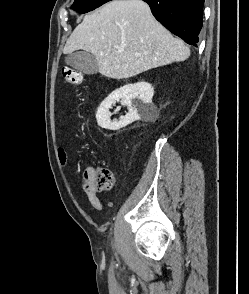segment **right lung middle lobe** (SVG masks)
<instances>
[{"label": "right lung middle lobe", "mask_w": 249, "mask_h": 294, "mask_svg": "<svg viewBox=\"0 0 249 294\" xmlns=\"http://www.w3.org/2000/svg\"><path fill=\"white\" fill-rule=\"evenodd\" d=\"M111 0H75L71 8L79 13L92 11Z\"/></svg>", "instance_id": "1"}]
</instances>
